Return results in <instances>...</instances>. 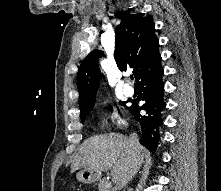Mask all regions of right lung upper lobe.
Returning <instances> with one entry per match:
<instances>
[{"mask_svg":"<svg viewBox=\"0 0 221 191\" xmlns=\"http://www.w3.org/2000/svg\"><path fill=\"white\" fill-rule=\"evenodd\" d=\"M155 24L149 17L139 14H124L121 24L115 28L114 58L120 70L133 68L135 79L160 58L159 42L155 35ZM101 50H93L81 63L77 74L80 112L93 109L101 75L97 59ZM80 113V114H81Z\"/></svg>","mask_w":221,"mask_h":191,"instance_id":"obj_1","label":"right lung upper lobe"}]
</instances>
